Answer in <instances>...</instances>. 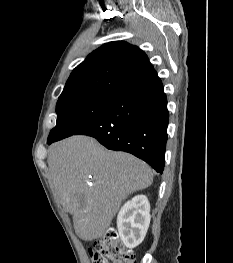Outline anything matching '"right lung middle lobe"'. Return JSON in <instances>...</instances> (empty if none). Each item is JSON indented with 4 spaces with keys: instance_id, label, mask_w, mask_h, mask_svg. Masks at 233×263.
<instances>
[{
    "instance_id": "dd1d6c3e",
    "label": "right lung middle lobe",
    "mask_w": 233,
    "mask_h": 263,
    "mask_svg": "<svg viewBox=\"0 0 233 263\" xmlns=\"http://www.w3.org/2000/svg\"><path fill=\"white\" fill-rule=\"evenodd\" d=\"M117 95L108 92H80L60 96L56 106V126L51 130L48 141L76 134L99 118Z\"/></svg>"
}]
</instances>
